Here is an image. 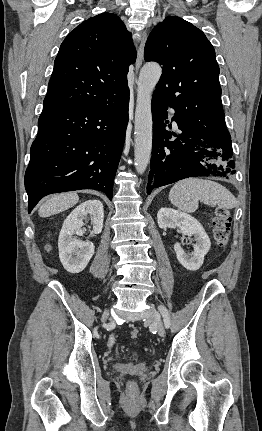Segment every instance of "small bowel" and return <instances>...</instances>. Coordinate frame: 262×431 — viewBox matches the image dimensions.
Listing matches in <instances>:
<instances>
[{
    "instance_id": "small-bowel-1",
    "label": "small bowel",
    "mask_w": 262,
    "mask_h": 431,
    "mask_svg": "<svg viewBox=\"0 0 262 431\" xmlns=\"http://www.w3.org/2000/svg\"><path fill=\"white\" fill-rule=\"evenodd\" d=\"M114 340V335H111L109 338V342Z\"/></svg>"
}]
</instances>
